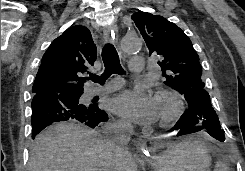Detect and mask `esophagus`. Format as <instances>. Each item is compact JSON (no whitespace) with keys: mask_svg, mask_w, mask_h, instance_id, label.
<instances>
[{"mask_svg":"<svg viewBox=\"0 0 245 171\" xmlns=\"http://www.w3.org/2000/svg\"><path fill=\"white\" fill-rule=\"evenodd\" d=\"M103 37H104V41L106 43H111L113 41L112 32L108 26H105L103 28ZM137 147H138V150L143 157H145V158L150 157V152L147 150L146 144L144 141L138 142Z\"/></svg>","mask_w":245,"mask_h":171,"instance_id":"1","label":"esophagus"}]
</instances>
